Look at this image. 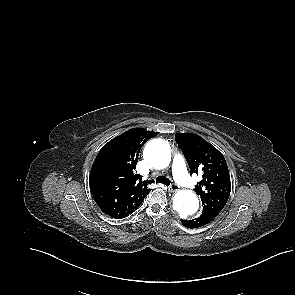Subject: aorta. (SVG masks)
I'll use <instances>...</instances> for the list:
<instances>
[{"label":"aorta","instance_id":"762f6f07","mask_svg":"<svg viewBox=\"0 0 295 295\" xmlns=\"http://www.w3.org/2000/svg\"><path fill=\"white\" fill-rule=\"evenodd\" d=\"M144 155L156 169L168 167L171 161L170 148L162 139L149 141L145 146ZM173 208L183 219L194 218L199 210V200L191 190H181L173 198Z\"/></svg>","mask_w":295,"mask_h":295}]
</instances>
